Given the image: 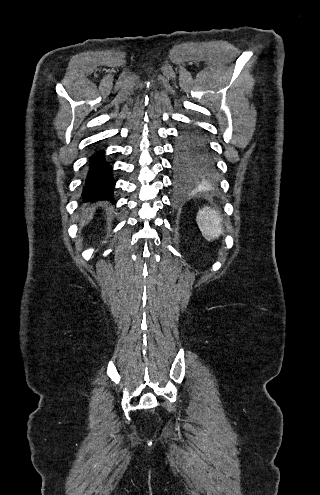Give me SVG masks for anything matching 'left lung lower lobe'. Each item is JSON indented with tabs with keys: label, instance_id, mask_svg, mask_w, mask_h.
<instances>
[{
	"label": "left lung lower lobe",
	"instance_id": "0a47b994",
	"mask_svg": "<svg viewBox=\"0 0 320 495\" xmlns=\"http://www.w3.org/2000/svg\"><path fill=\"white\" fill-rule=\"evenodd\" d=\"M196 136L198 138V146H199L200 151L205 156V158L208 160L211 168H213L214 167V160L210 154L208 145H207L204 137L199 133H196Z\"/></svg>",
	"mask_w": 320,
	"mask_h": 495
}]
</instances>
